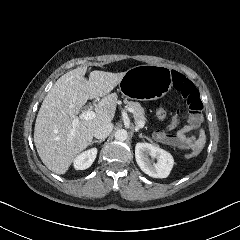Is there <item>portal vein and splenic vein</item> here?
Listing matches in <instances>:
<instances>
[{
    "instance_id": "portal-vein-and-splenic-vein-1",
    "label": "portal vein and splenic vein",
    "mask_w": 240,
    "mask_h": 240,
    "mask_svg": "<svg viewBox=\"0 0 240 240\" xmlns=\"http://www.w3.org/2000/svg\"><path fill=\"white\" fill-rule=\"evenodd\" d=\"M82 118L85 119V120H94V119L97 118V113L95 111H88L87 110L82 114ZM137 124L142 128L146 127V124L142 120H138ZM76 129H77V120L73 121L72 126L70 128L71 136H73L75 134Z\"/></svg>"
}]
</instances>
